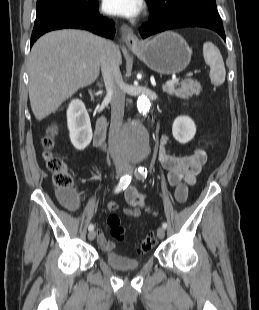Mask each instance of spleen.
Segmentation results:
<instances>
[{"label":"spleen","instance_id":"3e777b00","mask_svg":"<svg viewBox=\"0 0 259 310\" xmlns=\"http://www.w3.org/2000/svg\"><path fill=\"white\" fill-rule=\"evenodd\" d=\"M203 56L205 63L210 67L211 83L218 86L224 83L226 70L219 49L212 42L203 44Z\"/></svg>","mask_w":259,"mask_h":310}]
</instances>
